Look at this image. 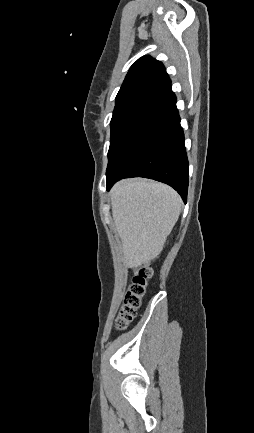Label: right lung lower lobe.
I'll return each instance as SVG.
<instances>
[{"instance_id": "obj_1", "label": "right lung lower lobe", "mask_w": 254, "mask_h": 433, "mask_svg": "<svg viewBox=\"0 0 254 433\" xmlns=\"http://www.w3.org/2000/svg\"><path fill=\"white\" fill-rule=\"evenodd\" d=\"M108 159L107 190L122 178L145 177L170 185L186 203L188 160L171 85L132 114Z\"/></svg>"}]
</instances>
